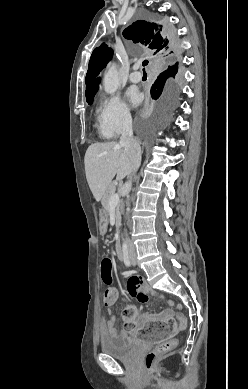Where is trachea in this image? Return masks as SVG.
Segmentation results:
<instances>
[{
	"label": "trachea",
	"instance_id": "trachea-1",
	"mask_svg": "<svg viewBox=\"0 0 248 389\" xmlns=\"http://www.w3.org/2000/svg\"><path fill=\"white\" fill-rule=\"evenodd\" d=\"M147 64H148V61H147V60H144V61L142 62V66H143V67H145ZM143 71L145 72V68L143 69Z\"/></svg>",
	"mask_w": 248,
	"mask_h": 389
}]
</instances>
